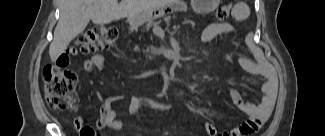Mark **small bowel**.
<instances>
[{
    "instance_id": "small-bowel-1",
    "label": "small bowel",
    "mask_w": 325,
    "mask_h": 136,
    "mask_svg": "<svg viewBox=\"0 0 325 136\" xmlns=\"http://www.w3.org/2000/svg\"><path fill=\"white\" fill-rule=\"evenodd\" d=\"M224 34H233L238 36V30L231 23L213 22L203 29L200 38L202 42L208 43L213 41L218 36ZM80 50V44H67V47L64 48L63 53H59L56 60L58 64L57 70L66 75V79L70 81L68 85L71 88L75 85L72 80H79L80 75L79 73H75L74 68H67V63L70 57L69 55H74L75 51ZM241 62L247 71L252 74L259 75L264 79V83L262 85V97L259 103L254 104L247 102L241 93H239L237 90L230 89L229 95L233 101V104L239 110L247 114L248 119L240 125H237L230 130L223 132V136H244L258 130L261 126V123L265 122L269 117L275 100L276 80L270 68L262 59V57L258 56L257 63L252 62L246 57H242ZM104 68L105 58L101 54L94 55L90 60H87L84 63V70L87 73H90L93 70L102 71ZM170 95L178 100L192 97L189 93L183 91H172L170 92ZM123 99V94H112L104 100L100 109V118L96 123L95 130L103 127H108L113 131H118L122 128L123 121L117 118L115 103ZM143 105L144 104L140 99L133 97L130 99L127 105V112L129 114H133L139 111ZM74 125L80 131V133L91 128L84 124V119L81 116H78L74 119ZM205 129L209 135H216L217 133V129L210 122H207L205 124Z\"/></svg>"
}]
</instances>
